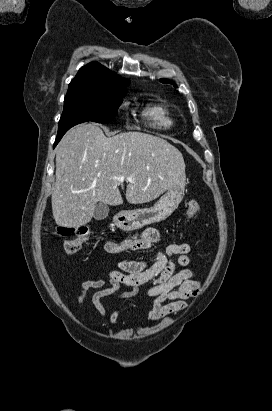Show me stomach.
<instances>
[{
	"mask_svg": "<svg viewBox=\"0 0 272 411\" xmlns=\"http://www.w3.org/2000/svg\"><path fill=\"white\" fill-rule=\"evenodd\" d=\"M184 186L180 184L171 185L152 207L119 212L113 218L115 225L123 231H133L166 220L182 201Z\"/></svg>",
	"mask_w": 272,
	"mask_h": 411,
	"instance_id": "1",
	"label": "stomach"
}]
</instances>
